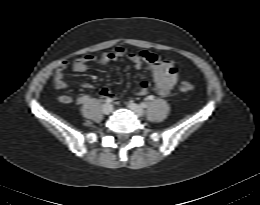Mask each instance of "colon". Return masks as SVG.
Listing matches in <instances>:
<instances>
[{
  "label": "colon",
  "mask_w": 260,
  "mask_h": 205,
  "mask_svg": "<svg viewBox=\"0 0 260 205\" xmlns=\"http://www.w3.org/2000/svg\"><path fill=\"white\" fill-rule=\"evenodd\" d=\"M178 88L182 92H191L194 89V86L188 81H181L178 85Z\"/></svg>",
  "instance_id": "obj_1"
}]
</instances>
